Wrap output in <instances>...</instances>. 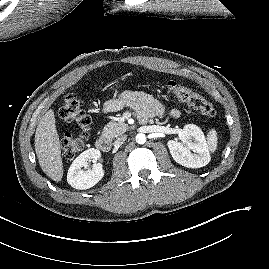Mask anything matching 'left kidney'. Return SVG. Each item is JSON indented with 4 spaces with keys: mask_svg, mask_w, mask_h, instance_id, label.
Returning a JSON list of instances; mask_svg holds the SVG:
<instances>
[{
    "mask_svg": "<svg viewBox=\"0 0 269 269\" xmlns=\"http://www.w3.org/2000/svg\"><path fill=\"white\" fill-rule=\"evenodd\" d=\"M178 140H169L168 148L173 159L187 168H200L210 162V153L202 130L193 124L186 125Z\"/></svg>",
    "mask_w": 269,
    "mask_h": 269,
    "instance_id": "5707ae66",
    "label": "left kidney"
}]
</instances>
